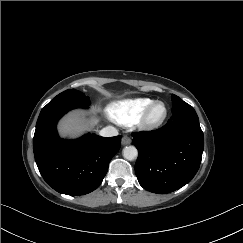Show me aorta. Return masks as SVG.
<instances>
[{
  "instance_id": "aorta-1",
  "label": "aorta",
  "mask_w": 243,
  "mask_h": 243,
  "mask_svg": "<svg viewBox=\"0 0 243 243\" xmlns=\"http://www.w3.org/2000/svg\"><path fill=\"white\" fill-rule=\"evenodd\" d=\"M123 156L125 159L132 161L137 158L138 151L135 146H126L123 149Z\"/></svg>"
}]
</instances>
